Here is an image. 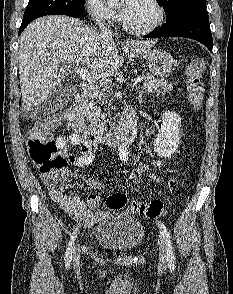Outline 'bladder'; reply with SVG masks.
I'll return each mask as SVG.
<instances>
[{
	"label": "bladder",
	"instance_id": "bladder-1",
	"mask_svg": "<svg viewBox=\"0 0 233 294\" xmlns=\"http://www.w3.org/2000/svg\"><path fill=\"white\" fill-rule=\"evenodd\" d=\"M145 236L141 222L125 213H110L95 229L96 242L109 250L127 252L138 248Z\"/></svg>",
	"mask_w": 233,
	"mask_h": 294
}]
</instances>
